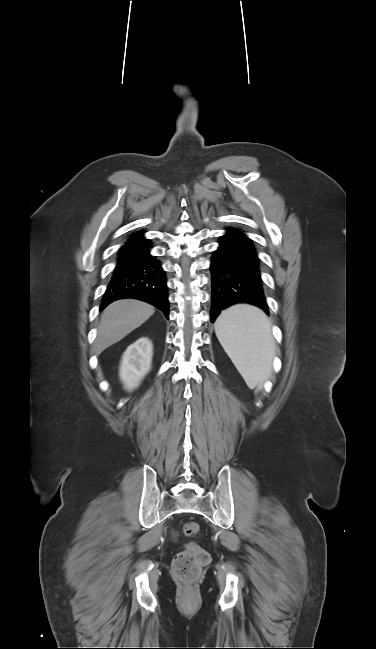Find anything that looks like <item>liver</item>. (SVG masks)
Wrapping results in <instances>:
<instances>
[{
	"instance_id": "6515ba94",
	"label": "liver",
	"mask_w": 376,
	"mask_h": 649,
	"mask_svg": "<svg viewBox=\"0 0 376 649\" xmlns=\"http://www.w3.org/2000/svg\"><path fill=\"white\" fill-rule=\"evenodd\" d=\"M154 312L152 305L135 299H122L111 303L101 316L94 345L96 354L122 340Z\"/></svg>"
}]
</instances>
